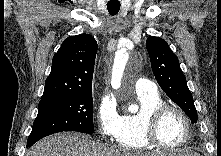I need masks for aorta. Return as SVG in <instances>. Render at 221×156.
<instances>
[{"label": "aorta", "instance_id": "1", "mask_svg": "<svg viewBox=\"0 0 221 156\" xmlns=\"http://www.w3.org/2000/svg\"><path fill=\"white\" fill-rule=\"evenodd\" d=\"M128 57L129 55L126 48H120L115 54V60L111 76V86L113 89H118L121 85V79ZM137 110L138 109L135 106H130L128 108V111L131 113H136Z\"/></svg>", "mask_w": 221, "mask_h": 156}]
</instances>
